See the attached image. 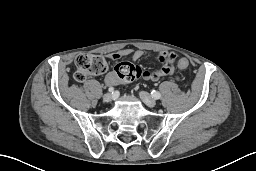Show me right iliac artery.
<instances>
[{
    "label": "right iliac artery",
    "instance_id": "82829eb1",
    "mask_svg": "<svg viewBox=\"0 0 256 171\" xmlns=\"http://www.w3.org/2000/svg\"><path fill=\"white\" fill-rule=\"evenodd\" d=\"M108 91H109V92H113V91H114V88H113V87H110V88L108 89Z\"/></svg>",
    "mask_w": 256,
    "mask_h": 171
}]
</instances>
